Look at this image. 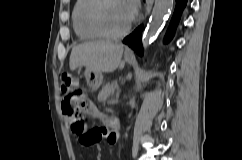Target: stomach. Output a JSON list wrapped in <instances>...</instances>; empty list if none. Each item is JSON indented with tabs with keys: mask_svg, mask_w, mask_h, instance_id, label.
I'll return each instance as SVG.
<instances>
[{
	"mask_svg": "<svg viewBox=\"0 0 242 160\" xmlns=\"http://www.w3.org/2000/svg\"><path fill=\"white\" fill-rule=\"evenodd\" d=\"M125 61L132 63L133 58L126 54ZM85 78L87 86L92 92L97 91L103 82V75L101 72L86 71Z\"/></svg>",
	"mask_w": 242,
	"mask_h": 160,
	"instance_id": "1",
	"label": "stomach"
}]
</instances>
